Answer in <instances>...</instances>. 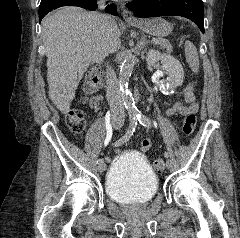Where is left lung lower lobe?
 <instances>
[{"label": "left lung lower lobe", "instance_id": "1", "mask_svg": "<svg viewBox=\"0 0 240 238\" xmlns=\"http://www.w3.org/2000/svg\"><path fill=\"white\" fill-rule=\"evenodd\" d=\"M127 6L139 18L169 15L186 17L204 33L202 0H133Z\"/></svg>", "mask_w": 240, "mask_h": 238}]
</instances>
